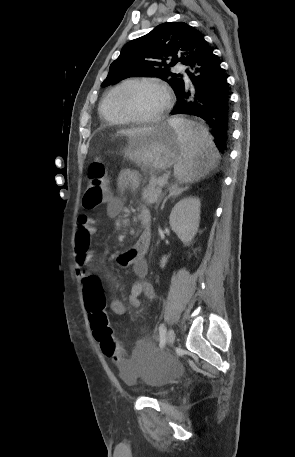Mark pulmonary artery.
<instances>
[{"instance_id": "1", "label": "pulmonary artery", "mask_w": 295, "mask_h": 457, "mask_svg": "<svg viewBox=\"0 0 295 457\" xmlns=\"http://www.w3.org/2000/svg\"><path fill=\"white\" fill-rule=\"evenodd\" d=\"M177 69H178L180 72H182L183 75H184V78L187 79V76H186V74L184 73V68H183V66L178 65V66H177Z\"/></svg>"}]
</instances>
